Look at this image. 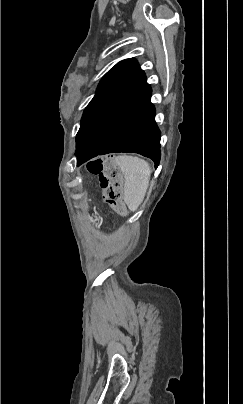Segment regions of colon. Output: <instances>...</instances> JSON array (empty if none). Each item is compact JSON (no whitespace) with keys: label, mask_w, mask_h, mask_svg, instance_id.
<instances>
[{"label":"colon","mask_w":243,"mask_h":404,"mask_svg":"<svg viewBox=\"0 0 243 404\" xmlns=\"http://www.w3.org/2000/svg\"><path fill=\"white\" fill-rule=\"evenodd\" d=\"M88 171L99 177L105 201L115 210L123 211V176L114 159L92 161L88 164Z\"/></svg>","instance_id":"1"}]
</instances>
